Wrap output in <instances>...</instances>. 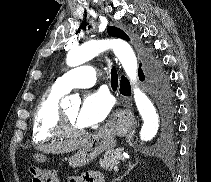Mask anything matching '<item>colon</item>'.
<instances>
[{"label":"colon","instance_id":"obj_1","mask_svg":"<svg viewBox=\"0 0 211 182\" xmlns=\"http://www.w3.org/2000/svg\"><path fill=\"white\" fill-rule=\"evenodd\" d=\"M30 170L37 182H56V175L53 169L33 167Z\"/></svg>","mask_w":211,"mask_h":182}]
</instances>
